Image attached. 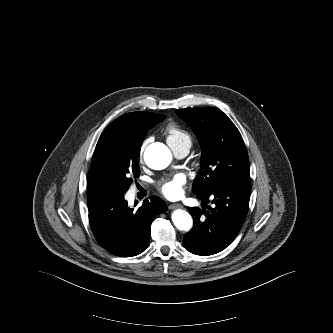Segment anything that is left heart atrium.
<instances>
[{"label": "left heart atrium", "mask_w": 333, "mask_h": 333, "mask_svg": "<svg viewBox=\"0 0 333 333\" xmlns=\"http://www.w3.org/2000/svg\"><path fill=\"white\" fill-rule=\"evenodd\" d=\"M185 182L184 175L177 174L173 178L162 182L159 188L167 198L175 199L182 196Z\"/></svg>", "instance_id": "left-heart-atrium-1"}]
</instances>
